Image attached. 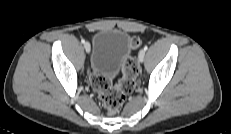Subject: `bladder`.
Returning <instances> with one entry per match:
<instances>
[{
	"label": "bladder",
	"mask_w": 231,
	"mask_h": 134,
	"mask_svg": "<svg viewBox=\"0 0 231 134\" xmlns=\"http://www.w3.org/2000/svg\"><path fill=\"white\" fill-rule=\"evenodd\" d=\"M92 44V72L107 79L116 78L132 48L130 35L120 29H103L94 34Z\"/></svg>",
	"instance_id": "1"
}]
</instances>
